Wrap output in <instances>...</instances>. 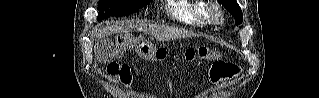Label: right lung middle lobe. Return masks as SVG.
<instances>
[{
  "mask_svg": "<svg viewBox=\"0 0 319 98\" xmlns=\"http://www.w3.org/2000/svg\"><path fill=\"white\" fill-rule=\"evenodd\" d=\"M151 0H99L97 21L109 16H125L146 6Z\"/></svg>",
  "mask_w": 319,
  "mask_h": 98,
  "instance_id": "dd1d6c3e",
  "label": "right lung middle lobe"
}]
</instances>
